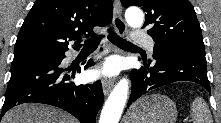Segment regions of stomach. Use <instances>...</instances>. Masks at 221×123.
Listing matches in <instances>:
<instances>
[{
    "mask_svg": "<svg viewBox=\"0 0 221 123\" xmlns=\"http://www.w3.org/2000/svg\"><path fill=\"white\" fill-rule=\"evenodd\" d=\"M176 104L162 94H150L138 99L127 111L124 123H175Z\"/></svg>",
    "mask_w": 221,
    "mask_h": 123,
    "instance_id": "0dacf381",
    "label": "stomach"
}]
</instances>
